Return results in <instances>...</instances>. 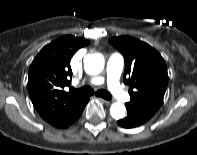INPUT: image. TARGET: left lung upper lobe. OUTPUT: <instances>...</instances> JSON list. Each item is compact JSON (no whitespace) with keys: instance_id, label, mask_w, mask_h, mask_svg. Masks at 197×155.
<instances>
[{"instance_id":"left-lung-upper-lobe-1","label":"left lung upper lobe","mask_w":197,"mask_h":155,"mask_svg":"<svg viewBox=\"0 0 197 155\" xmlns=\"http://www.w3.org/2000/svg\"><path fill=\"white\" fill-rule=\"evenodd\" d=\"M109 42L124 56V83L129 85L126 106L151 118L159 109L168 83L167 67L150 45L130 36L110 38Z\"/></svg>"}]
</instances>
